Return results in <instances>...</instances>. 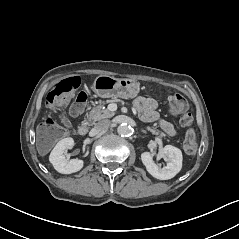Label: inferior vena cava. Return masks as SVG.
<instances>
[{
	"label": "inferior vena cava",
	"mask_w": 239,
	"mask_h": 239,
	"mask_svg": "<svg viewBox=\"0 0 239 239\" xmlns=\"http://www.w3.org/2000/svg\"><path fill=\"white\" fill-rule=\"evenodd\" d=\"M111 122L107 119L101 120L95 125V129L98 131L107 130L110 126Z\"/></svg>",
	"instance_id": "obj_1"
}]
</instances>
